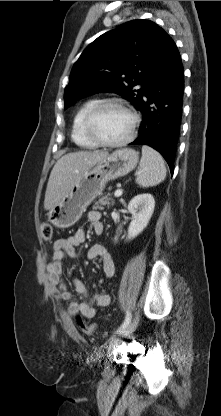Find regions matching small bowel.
<instances>
[{"instance_id": "1", "label": "small bowel", "mask_w": 221, "mask_h": 416, "mask_svg": "<svg viewBox=\"0 0 221 416\" xmlns=\"http://www.w3.org/2000/svg\"><path fill=\"white\" fill-rule=\"evenodd\" d=\"M87 220L95 234L103 232L104 226L100 212L89 211ZM85 238V231L79 229L72 236L55 241L52 247L51 259L46 266V276L57 300L70 301L68 306V314L70 316L76 317L81 315L87 319H92L96 315V307H107L110 304V296L106 293H97L90 296L85 284L75 277L72 279V284L80 295V300H72V293L63 279V259L65 254L77 257L76 248L85 242ZM88 258L100 260L105 277L111 278L114 276L115 263L104 245L96 244L92 246L88 251Z\"/></svg>"}]
</instances>
